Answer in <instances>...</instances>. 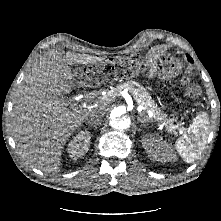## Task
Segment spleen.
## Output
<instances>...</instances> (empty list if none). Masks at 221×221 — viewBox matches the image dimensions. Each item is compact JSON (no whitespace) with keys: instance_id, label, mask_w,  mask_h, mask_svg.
<instances>
[{"instance_id":"1","label":"spleen","mask_w":221,"mask_h":221,"mask_svg":"<svg viewBox=\"0 0 221 221\" xmlns=\"http://www.w3.org/2000/svg\"><path fill=\"white\" fill-rule=\"evenodd\" d=\"M209 134V118L207 113L198 114L189 127L188 135L180 137L175 147L179 155L187 163H192L203 152Z\"/></svg>"}]
</instances>
